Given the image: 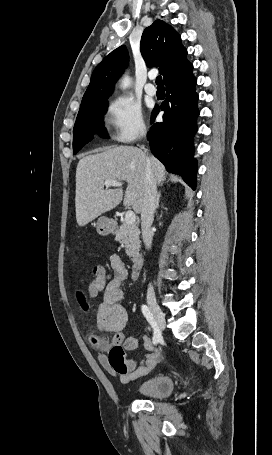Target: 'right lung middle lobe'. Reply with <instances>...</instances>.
<instances>
[{
	"mask_svg": "<svg viewBox=\"0 0 272 455\" xmlns=\"http://www.w3.org/2000/svg\"><path fill=\"white\" fill-rule=\"evenodd\" d=\"M108 102H104L94 108L78 113L73 129V153L76 154L94 135L108 138L104 127L103 117L107 111Z\"/></svg>",
	"mask_w": 272,
	"mask_h": 455,
	"instance_id": "dd1d6c3e",
	"label": "right lung middle lobe"
}]
</instances>
